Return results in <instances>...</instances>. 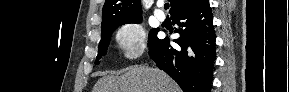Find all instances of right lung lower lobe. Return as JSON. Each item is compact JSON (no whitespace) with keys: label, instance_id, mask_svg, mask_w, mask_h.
Masks as SVG:
<instances>
[{"label":"right lung lower lobe","instance_id":"98d812e1","mask_svg":"<svg viewBox=\"0 0 289 92\" xmlns=\"http://www.w3.org/2000/svg\"><path fill=\"white\" fill-rule=\"evenodd\" d=\"M180 34L173 48L168 39L157 37L149 46V55L158 68L168 73L184 92H210L215 62L216 35L209 0L171 15Z\"/></svg>","mask_w":289,"mask_h":92}]
</instances>
